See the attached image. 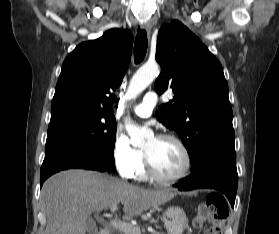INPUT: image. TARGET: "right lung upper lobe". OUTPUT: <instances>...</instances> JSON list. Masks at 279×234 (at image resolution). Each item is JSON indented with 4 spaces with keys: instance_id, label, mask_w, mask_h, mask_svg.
Listing matches in <instances>:
<instances>
[{
    "instance_id": "cb5924a9",
    "label": "right lung upper lobe",
    "mask_w": 279,
    "mask_h": 234,
    "mask_svg": "<svg viewBox=\"0 0 279 234\" xmlns=\"http://www.w3.org/2000/svg\"><path fill=\"white\" fill-rule=\"evenodd\" d=\"M132 33L110 29L79 44L64 60L51 112L83 109L112 114L115 96L132 54Z\"/></svg>"
}]
</instances>
